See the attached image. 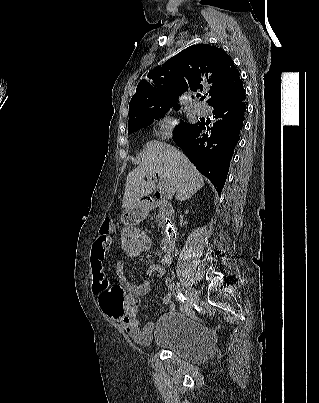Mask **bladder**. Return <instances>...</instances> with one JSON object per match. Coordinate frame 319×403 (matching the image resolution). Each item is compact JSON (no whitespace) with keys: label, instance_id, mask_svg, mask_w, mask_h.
<instances>
[{"label":"bladder","instance_id":"31cf9c89","mask_svg":"<svg viewBox=\"0 0 319 403\" xmlns=\"http://www.w3.org/2000/svg\"><path fill=\"white\" fill-rule=\"evenodd\" d=\"M151 345L182 360L202 363L209 358L213 340L204 324L174 311L157 320Z\"/></svg>","mask_w":319,"mask_h":403}]
</instances>
